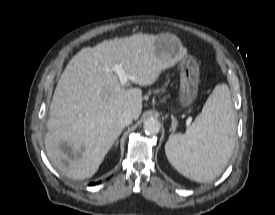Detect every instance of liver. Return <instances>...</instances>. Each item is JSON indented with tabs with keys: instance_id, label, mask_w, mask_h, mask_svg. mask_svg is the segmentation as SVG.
<instances>
[{
	"instance_id": "liver-1",
	"label": "liver",
	"mask_w": 275,
	"mask_h": 215,
	"mask_svg": "<svg viewBox=\"0 0 275 215\" xmlns=\"http://www.w3.org/2000/svg\"><path fill=\"white\" fill-rule=\"evenodd\" d=\"M156 37L138 33L103 41L83 48L68 63L52 98L44 141L49 160L64 175L92 177L122 132L117 118L125 111L135 120L141 114V89H126L112 70L114 64L123 66L132 83L148 86L187 55L181 47L175 58L157 56ZM63 143L68 152L61 150Z\"/></svg>"
}]
</instances>
